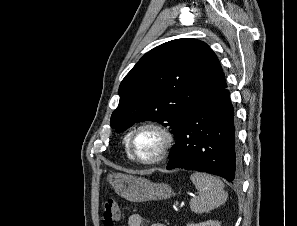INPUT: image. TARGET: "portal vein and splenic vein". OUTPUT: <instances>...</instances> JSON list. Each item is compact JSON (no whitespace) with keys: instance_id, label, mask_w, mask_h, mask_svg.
Returning <instances> with one entry per match:
<instances>
[{"instance_id":"portal-vein-and-splenic-vein-1","label":"portal vein and splenic vein","mask_w":297,"mask_h":226,"mask_svg":"<svg viewBox=\"0 0 297 226\" xmlns=\"http://www.w3.org/2000/svg\"><path fill=\"white\" fill-rule=\"evenodd\" d=\"M174 205H175L176 207L179 206V202L176 201V202L174 203Z\"/></svg>"}]
</instances>
